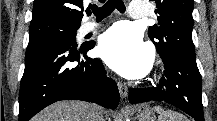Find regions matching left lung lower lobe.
I'll use <instances>...</instances> for the list:
<instances>
[{"label": "left lung lower lobe", "mask_w": 217, "mask_h": 121, "mask_svg": "<svg viewBox=\"0 0 217 121\" xmlns=\"http://www.w3.org/2000/svg\"><path fill=\"white\" fill-rule=\"evenodd\" d=\"M165 75L157 87L134 88L129 94L130 103L162 101L183 110L196 121H204L202 81L195 57L171 53L162 58Z\"/></svg>", "instance_id": "left-lung-lower-lobe-1"}]
</instances>
